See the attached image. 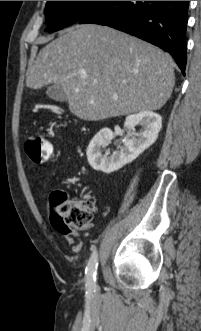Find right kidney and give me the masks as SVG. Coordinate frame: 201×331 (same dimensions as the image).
Returning <instances> with one entry per match:
<instances>
[{"label": "right kidney", "mask_w": 201, "mask_h": 331, "mask_svg": "<svg viewBox=\"0 0 201 331\" xmlns=\"http://www.w3.org/2000/svg\"><path fill=\"white\" fill-rule=\"evenodd\" d=\"M136 126L141 127L140 131L112 154L109 149L103 153L102 148L110 143L114 133L109 128L101 129L87 147L86 154L90 166L94 170L110 174L131 163L156 141L162 128V119L160 115L151 111L129 115L124 122V129L135 130Z\"/></svg>", "instance_id": "ca27d5eb"}]
</instances>
